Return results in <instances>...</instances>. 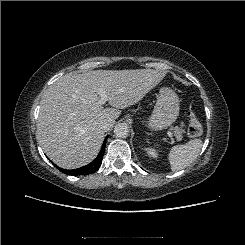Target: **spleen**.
Returning <instances> with one entry per match:
<instances>
[{
  "label": "spleen",
  "instance_id": "1",
  "mask_svg": "<svg viewBox=\"0 0 245 245\" xmlns=\"http://www.w3.org/2000/svg\"><path fill=\"white\" fill-rule=\"evenodd\" d=\"M203 142L193 139L184 145L173 146L168 153V160L172 171H179L191 164L199 155Z\"/></svg>",
  "mask_w": 245,
  "mask_h": 245
}]
</instances>
